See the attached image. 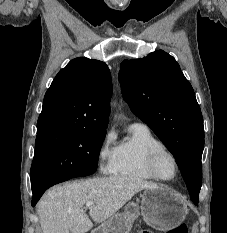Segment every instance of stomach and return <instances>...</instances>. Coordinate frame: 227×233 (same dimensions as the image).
<instances>
[{"mask_svg": "<svg viewBox=\"0 0 227 233\" xmlns=\"http://www.w3.org/2000/svg\"><path fill=\"white\" fill-rule=\"evenodd\" d=\"M187 212L185 202L174 192L162 187L146 189L140 201L128 203L124 212L104 222L98 233H129L139 215L153 228L167 232L182 223Z\"/></svg>", "mask_w": 227, "mask_h": 233, "instance_id": "1", "label": "stomach"}]
</instances>
